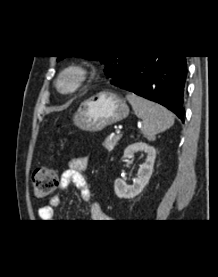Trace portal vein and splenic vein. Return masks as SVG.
<instances>
[{
    "mask_svg": "<svg viewBox=\"0 0 218 277\" xmlns=\"http://www.w3.org/2000/svg\"><path fill=\"white\" fill-rule=\"evenodd\" d=\"M116 133H117V134H120V133H121V130H119V129L116 130Z\"/></svg>",
    "mask_w": 218,
    "mask_h": 277,
    "instance_id": "1",
    "label": "portal vein and splenic vein"
}]
</instances>
